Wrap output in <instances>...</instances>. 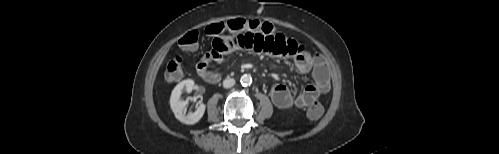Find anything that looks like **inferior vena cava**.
I'll list each match as a JSON object with an SVG mask.
<instances>
[{"instance_id": "inferior-vena-cava-1", "label": "inferior vena cava", "mask_w": 499, "mask_h": 154, "mask_svg": "<svg viewBox=\"0 0 499 154\" xmlns=\"http://www.w3.org/2000/svg\"><path fill=\"white\" fill-rule=\"evenodd\" d=\"M235 84V80L233 78H228L223 81L224 88H231Z\"/></svg>"}]
</instances>
